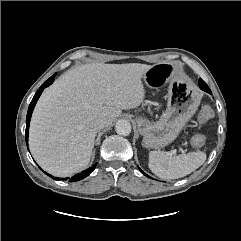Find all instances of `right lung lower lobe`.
Listing matches in <instances>:
<instances>
[{
	"mask_svg": "<svg viewBox=\"0 0 241 241\" xmlns=\"http://www.w3.org/2000/svg\"><path fill=\"white\" fill-rule=\"evenodd\" d=\"M56 74H54L53 76H51L48 80H46L40 87V89L36 92L35 96L33 97L29 108H28V113H27V118H26V132H25V138H26V143L28 144V132H29V124H30V119H31V115L33 112V109L35 107V104L38 100V98L40 97L41 93L43 92L44 88H46L47 86L51 85L53 83L54 77ZM97 164V163H96ZM96 164L93 165L92 167L88 168L87 170H84L83 172H81L78 175H75L73 177H71L69 179V182H75V181H79L83 178H85L86 176H88L91 172L94 171ZM47 175H49L48 173H46ZM55 179H60V178H55ZM68 179V178H66ZM66 179H62V180H66Z\"/></svg>",
	"mask_w": 241,
	"mask_h": 241,
	"instance_id": "obj_1",
	"label": "right lung lower lobe"
}]
</instances>
